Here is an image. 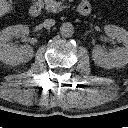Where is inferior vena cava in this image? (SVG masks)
<instances>
[{"mask_svg": "<svg viewBox=\"0 0 128 128\" xmlns=\"http://www.w3.org/2000/svg\"><path fill=\"white\" fill-rule=\"evenodd\" d=\"M55 25V20L53 19H46L43 23V26L46 28V29H50L52 26Z\"/></svg>", "mask_w": 128, "mask_h": 128, "instance_id": "602c4592", "label": "inferior vena cava"}]
</instances>
